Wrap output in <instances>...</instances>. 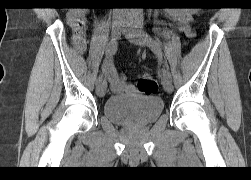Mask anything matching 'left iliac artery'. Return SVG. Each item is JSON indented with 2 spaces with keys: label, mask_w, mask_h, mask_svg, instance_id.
Listing matches in <instances>:
<instances>
[{
  "label": "left iliac artery",
  "mask_w": 251,
  "mask_h": 180,
  "mask_svg": "<svg viewBox=\"0 0 251 180\" xmlns=\"http://www.w3.org/2000/svg\"><path fill=\"white\" fill-rule=\"evenodd\" d=\"M135 23L136 27L140 29V31L143 33L145 36V39L147 41L148 46L151 48V50L158 56V58H162V50L161 46L158 41L153 39L150 35H148L146 32L143 30V17L142 15L137 14L135 17ZM163 75L171 79V73L168 71V69H163Z\"/></svg>",
  "instance_id": "obj_1"
}]
</instances>
